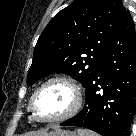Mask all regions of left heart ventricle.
Listing matches in <instances>:
<instances>
[{"label": "left heart ventricle", "mask_w": 136, "mask_h": 136, "mask_svg": "<svg viewBox=\"0 0 136 136\" xmlns=\"http://www.w3.org/2000/svg\"><path fill=\"white\" fill-rule=\"evenodd\" d=\"M72 104V93L63 84L45 87L36 97L35 114L42 119L54 118L65 113Z\"/></svg>", "instance_id": "1"}]
</instances>
